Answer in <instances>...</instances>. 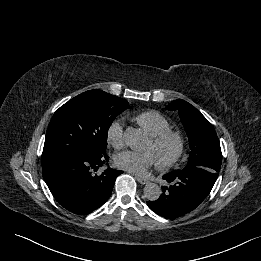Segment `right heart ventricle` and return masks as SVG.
Here are the masks:
<instances>
[{
	"mask_svg": "<svg viewBox=\"0 0 261 261\" xmlns=\"http://www.w3.org/2000/svg\"><path fill=\"white\" fill-rule=\"evenodd\" d=\"M134 120L150 136L158 135L170 127L167 118L155 110L141 112L134 117Z\"/></svg>",
	"mask_w": 261,
	"mask_h": 261,
	"instance_id": "obj_1",
	"label": "right heart ventricle"
}]
</instances>
